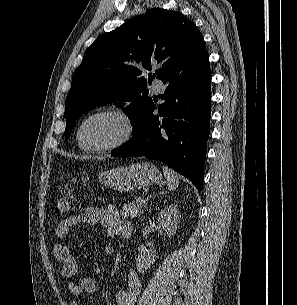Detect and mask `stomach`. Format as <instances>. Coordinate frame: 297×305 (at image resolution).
Listing matches in <instances>:
<instances>
[{"label":"stomach","mask_w":297,"mask_h":305,"mask_svg":"<svg viewBox=\"0 0 297 305\" xmlns=\"http://www.w3.org/2000/svg\"><path fill=\"white\" fill-rule=\"evenodd\" d=\"M98 176L102 184L120 192L136 191L148 185L158 184L162 180L161 172L149 162L102 171Z\"/></svg>","instance_id":"0dacf381"}]
</instances>
